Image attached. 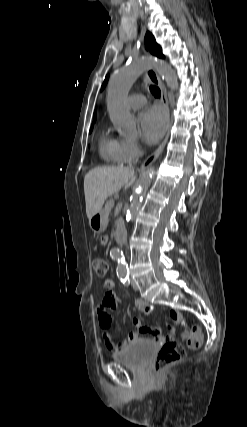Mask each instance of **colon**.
I'll list each match as a JSON object with an SVG mask.
<instances>
[{"label":"colon","instance_id":"colon-1","mask_svg":"<svg viewBox=\"0 0 247 427\" xmlns=\"http://www.w3.org/2000/svg\"><path fill=\"white\" fill-rule=\"evenodd\" d=\"M93 268L96 274L104 277L108 272V263L102 258L93 261ZM202 333L199 327L194 326L187 340L190 349H198L202 345ZM185 356V349L182 344L174 341L165 342L160 348L156 361L155 370L161 371L164 368L180 361Z\"/></svg>","mask_w":247,"mask_h":427}]
</instances>
